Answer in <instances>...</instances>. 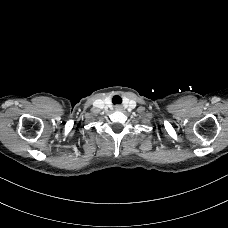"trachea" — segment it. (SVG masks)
<instances>
[{
    "mask_svg": "<svg viewBox=\"0 0 228 228\" xmlns=\"http://www.w3.org/2000/svg\"><path fill=\"white\" fill-rule=\"evenodd\" d=\"M112 102H113V104H121L122 99H121L120 96L115 95V96L112 98Z\"/></svg>",
    "mask_w": 228,
    "mask_h": 228,
    "instance_id": "3493384b",
    "label": "trachea"
}]
</instances>
